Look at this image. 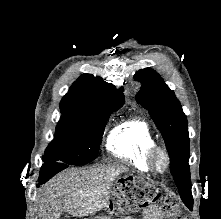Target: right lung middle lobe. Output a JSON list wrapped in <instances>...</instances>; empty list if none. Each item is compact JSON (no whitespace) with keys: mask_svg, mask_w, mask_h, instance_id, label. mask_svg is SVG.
Segmentation results:
<instances>
[{"mask_svg":"<svg viewBox=\"0 0 221 219\" xmlns=\"http://www.w3.org/2000/svg\"><path fill=\"white\" fill-rule=\"evenodd\" d=\"M110 114L101 118L81 119L62 116L54 139L43 156L45 163L82 165L93 161Z\"/></svg>","mask_w":221,"mask_h":219,"instance_id":"obj_1","label":"right lung middle lobe"}]
</instances>
